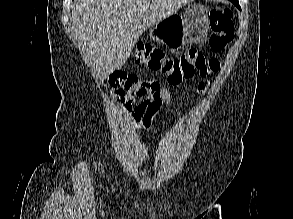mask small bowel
<instances>
[{
    "mask_svg": "<svg viewBox=\"0 0 293 219\" xmlns=\"http://www.w3.org/2000/svg\"><path fill=\"white\" fill-rule=\"evenodd\" d=\"M204 89L205 83L201 82L199 90L203 91ZM135 94L141 98L140 101L134 105L133 103L128 104L126 110L136 124L140 122L146 129L152 126L153 117L162 104L165 105L166 111L169 110L171 95L157 81H142Z\"/></svg>",
    "mask_w": 293,
    "mask_h": 219,
    "instance_id": "1",
    "label": "small bowel"
}]
</instances>
